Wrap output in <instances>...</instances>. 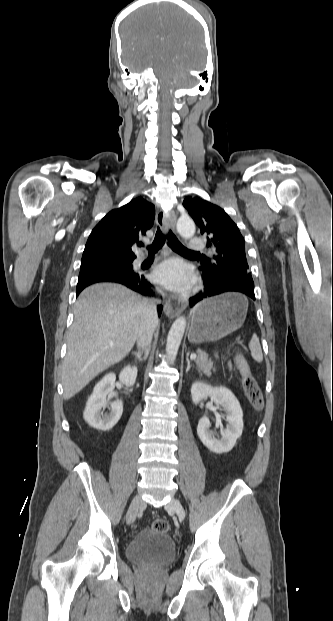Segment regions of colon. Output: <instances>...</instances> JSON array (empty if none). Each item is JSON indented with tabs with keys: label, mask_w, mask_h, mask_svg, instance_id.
<instances>
[{
	"label": "colon",
	"mask_w": 333,
	"mask_h": 621,
	"mask_svg": "<svg viewBox=\"0 0 333 621\" xmlns=\"http://www.w3.org/2000/svg\"><path fill=\"white\" fill-rule=\"evenodd\" d=\"M236 363L242 376V385L247 399L254 408L260 409L263 405L261 389L252 375L243 353L240 351L236 354ZM152 527L154 530L166 533L169 530V522L163 518L156 519Z\"/></svg>",
	"instance_id": "1"
}]
</instances>
